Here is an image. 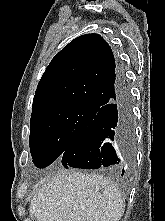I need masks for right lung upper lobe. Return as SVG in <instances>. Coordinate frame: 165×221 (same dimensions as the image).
Segmentation results:
<instances>
[{
    "label": "right lung upper lobe",
    "mask_w": 165,
    "mask_h": 221,
    "mask_svg": "<svg viewBox=\"0 0 165 221\" xmlns=\"http://www.w3.org/2000/svg\"><path fill=\"white\" fill-rule=\"evenodd\" d=\"M118 74L113 52L103 37L79 36L46 68L35 92L31 115L59 107L98 110L114 96Z\"/></svg>",
    "instance_id": "1"
}]
</instances>
